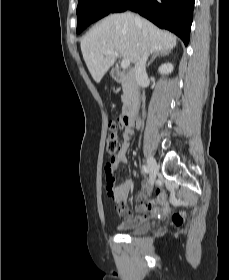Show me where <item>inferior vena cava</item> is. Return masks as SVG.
<instances>
[{
    "label": "inferior vena cava",
    "instance_id": "602c4592",
    "mask_svg": "<svg viewBox=\"0 0 229 280\" xmlns=\"http://www.w3.org/2000/svg\"><path fill=\"white\" fill-rule=\"evenodd\" d=\"M135 22L137 25L142 27L143 31V36L147 40V30L143 25L142 19L139 17H135ZM148 59V52L144 51L143 54L141 55L140 59L137 61L135 64V79L138 85H144L147 80L148 76L146 73V61Z\"/></svg>",
    "mask_w": 229,
    "mask_h": 280
}]
</instances>
